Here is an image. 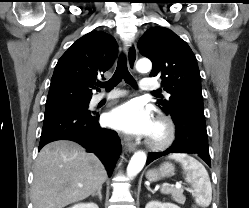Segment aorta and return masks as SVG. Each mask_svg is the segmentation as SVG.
Here are the masks:
<instances>
[{
  "mask_svg": "<svg viewBox=\"0 0 249 208\" xmlns=\"http://www.w3.org/2000/svg\"><path fill=\"white\" fill-rule=\"evenodd\" d=\"M151 68L152 64L149 59H140L136 64V69L142 73L150 71ZM146 159V153L143 151L135 152L128 164L127 176L130 178L135 177L143 169Z\"/></svg>",
  "mask_w": 249,
  "mask_h": 208,
  "instance_id": "762f6f07",
  "label": "aorta"
}]
</instances>
